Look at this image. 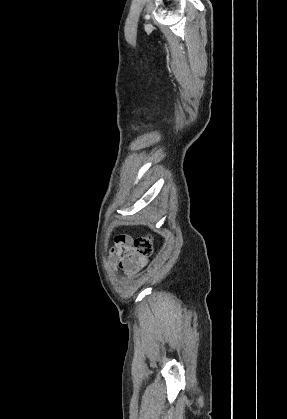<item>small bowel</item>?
<instances>
[{
    "label": "small bowel",
    "instance_id": "small-bowel-1",
    "mask_svg": "<svg viewBox=\"0 0 287 419\" xmlns=\"http://www.w3.org/2000/svg\"><path fill=\"white\" fill-rule=\"evenodd\" d=\"M115 245L111 249L109 263L128 278L133 277L145 264L134 248L131 246V237L125 234L117 235Z\"/></svg>",
    "mask_w": 287,
    "mask_h": 419
}]
</instances>
